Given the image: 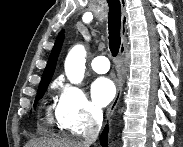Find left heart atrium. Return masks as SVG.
Segmentation results:
<instances>
[{
	"instance_id": "1",
	"label": "left heart atrium",
	"mask_w": 183,
	"mask_h": 147,
	"mask_svg": "<svg viewBox=\"0 0 183 147\" xmlns=\"http://www.w3.org/2000/svg\"><path fill=\"white\" fill-rule=\"evenodd\" d=\"M115 91L113 81L107 77H99L91 85L93 102L99 107L109 104L115 96Z\"/></svg>"
}]
</instances>
